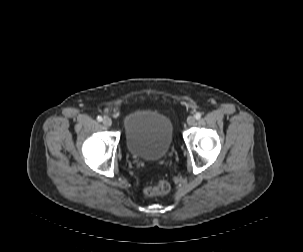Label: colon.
I'll return each mask as SVG.
<instances>
[{
    "label": "colon",
    "instance_id": "colon-1",
    "mask_svg": "<svg viewBox=\"0 0 303 252\" xmlns=\"http://www.w3.org/2000/svg\"><path fill=\"white\" fill-rule=\"evenodd\" d=\"M170 191V184L166 180H161L155 185L146 189V193L150 196L166 195Z\"/></svg>",
    "mask_w": 303,
    "mask_h": 252
}]
</instances>
